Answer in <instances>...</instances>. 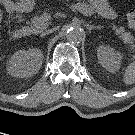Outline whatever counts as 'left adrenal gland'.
I'll list each match as a JSON object with an SVG mask.
<instances>
[{
	"instance_id": "1",
	"label": "left adrenal gland",
	"mask_w": 135,
	"mask_h": 135,
	"mask_svg": "<svg viewBox=\"0 0 135 135\" xmlns=\"http://www.w3.org/2000/svg\"><path fill=\"white\" fill-rule=\"evenodd\" d=\"M85 26H86L88 32H91L92 29H100V26H94V25H90L88 23H86Z\"/></svg>"
}]
</instances>
